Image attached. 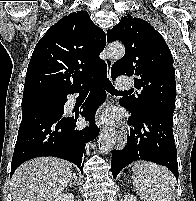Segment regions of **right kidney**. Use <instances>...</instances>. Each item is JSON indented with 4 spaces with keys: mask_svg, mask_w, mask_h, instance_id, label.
Here are the masks:
<instances>
[{
    "mask_svg": "<svg viewBox=\"0 0 196 201\" xmlns=\"http://www.w3.org/2000/svg\"><path fill=\"white\" fill-rule=\"evenodd\" d=\"M54 201H74V196L72 193L61 194Z\"/></svg>",
    "mask_w": 196,
    "mask_h": 201,
    "instance_id": "1",
    "label": "right kidney"
}]
</instances>
